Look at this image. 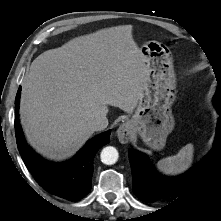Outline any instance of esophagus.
<instances>
[{"label": "esophagus", "instance_id": "obj_1", "mask_svg": "<svg viewBox=\"0 0 221 221\" xmlns=\"http://www.w3.org/2000/svg\"><path fill=\"white\" fill-rule=\"evenodd\" d=\"M119 141L123 144L128 143L132 135V125L130 122H125L119 126L116 131Z\"/></svg>", "mask_w": 221, "mask_h": 221}]
</instances>
